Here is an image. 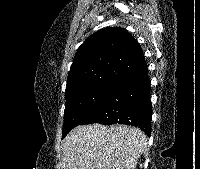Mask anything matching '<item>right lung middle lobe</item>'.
Listing matches in <instances>:
<instances>
[{"instance_id": "right-lung-middle-lobe-1", "label": "right lung middle lobe", "mask_w": 200, "mask_h": 169, "mask_svg": "<svg viewBox=\"0 0 200 169\" xmlns=\"http://www.w3.org/2000/svg\"><path fill=\"white\" fill-rule=\"evenodd\" d=\"M117 81L96 82L67 98L62 138L89 117L110 95Z\"/></svg>"}]
</instances>
